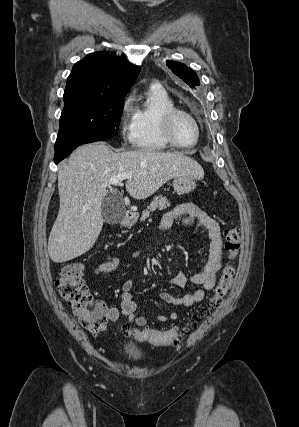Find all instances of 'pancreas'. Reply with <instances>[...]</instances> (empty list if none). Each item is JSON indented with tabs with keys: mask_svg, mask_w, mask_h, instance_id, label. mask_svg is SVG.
<instances>
[{
	"mask_svg": "<svg viewBox=\"0 0 299 427\" xmlns=\"http://www.w3.org/2000/svg\"><path fill=\"white\" fill-rule=\"evenodd\" d=\"M170 207V202L167 200L166 197L158 196L154 197L150 205L142 212V216L140 218V221L145 220L149 217L150 212L158 210H163Z\"/></svg>",
	"mask_w": 299,
	"mask_h": 427,
	"instance_id": "obj_1",
	"label": "pancreas"
}]
</instances>
